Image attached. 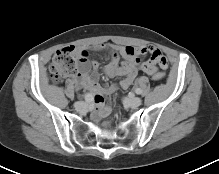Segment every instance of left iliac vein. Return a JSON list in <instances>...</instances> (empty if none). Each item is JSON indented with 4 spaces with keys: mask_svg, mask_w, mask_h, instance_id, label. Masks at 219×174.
Wrapping results in <instances>:
<instances>
[{
    "mask_svg": "<svg viewBox=\"0 0 219 174\" xmlns=\"http://www.w3.org/2000/svg\"><path fill=\"white\" fill-rule=\"evenodd\" d=\"M141 103H142V99L139 97H130L127 99V104L130 107H138L141 105Z\"/></svg>",
    "mask_w": 219,
    "mask_h": 174,
    "instance_id": "4c4485c4",
    "label": "left iliac vein"
}]
</instances>
